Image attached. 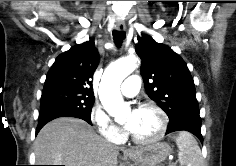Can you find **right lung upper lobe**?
<instances>
[{
	"label": "right lung upper lobe",
	"instance_id": "right-lung-upper-lobe-1",
	"mask_svg": "<svg viewBox=\"0 0 236 166\" xmlns=\"http://www.w3.org/2000/svg\"><path fill=\"white\" fill-rule=\"evenodd\" d=\"M98 63L99 54L91 39L83 44L75 45L56 58L47 74L43 93L64 90L93 95L90 79Z\"/></svg>",
	"mask_w": 236,
	"mask_h": 166
}]
</instances>
